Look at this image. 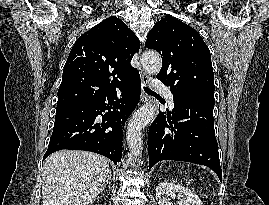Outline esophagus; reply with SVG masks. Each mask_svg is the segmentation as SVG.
Masks as SVG:
<instances>
[{"instance_id": "obj_1", "label": "esophagus", "mask_w": 269, "mask_h": 205, "mask_svg": "<svg viewBox=\"0 0 269 205\" xmlns=\"http://www.w3.org/2000/svg\"><path fill=\"white\" fill-rule=\"evenodd\" d=\"M140 52H141V50L139 51V54H140ZM140 76H141L142 86L147 87L149 85V81H150L149 76L144 71L140 72ZM141 101H142V103H148L151 101V97L145 91H142Z\"/></svg>"}]
</instances>
